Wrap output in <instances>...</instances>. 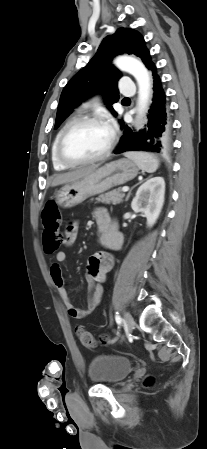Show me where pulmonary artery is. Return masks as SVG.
<instances>
[{
	"label": "pulmonary artery",
	"instance_id": "1",
	"mask_svg": "<svg viewBox=\"0 0 207 449\" xmlns=\"http://www.w3.org/2000/svg\"><path fill=\"white\" fill-rule=\"evenodd\" d=\"M121 94L125 96H133L135 94V86L131 82L130 79H126L124 85L120 89ZM89 105V103H86V106Z\"/></svg>",
	"mask_w": 207,
	"mask_h": 449
}]
</instances>
